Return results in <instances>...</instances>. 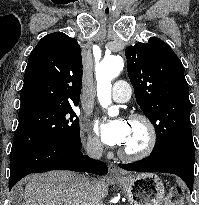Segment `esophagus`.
<instances>
[{"instance_id":"1","label":"esophagus","mask_w":199,"mask_h":205,"mask_svg":"<svg viewBox=\"0 0 199 205\" xmlns=\"http://www.w3.org/2000/svg\"><path fill=\"white\" fill-rule=\"evenodd\" d=\"M109 173L112 177H119L122 175V172L113 163L109 165Z\"/></svg>"}]
</instances>
